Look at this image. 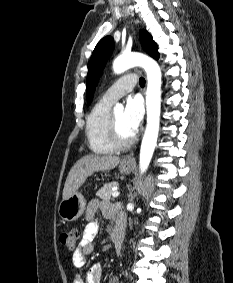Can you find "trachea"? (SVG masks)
<instances>
[{
  "instance_id": "trachea-1",
  "label": "trachea",
  "mask_w": 233,
  "mask_h": 283,
  "mask_svg": "<svg viewBox=\"0 0 233 283\" xmlns=\"http://www.w3.org/2000/svg\"><path fill=\"white\" fill-rule=\"evenodd\" d=\"M139 84H140L141 87L145 86V79L143 77L140 78Z\"/></svg>"
}]
</instances>
